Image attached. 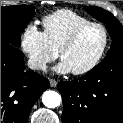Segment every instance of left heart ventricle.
Returning <instances> with one entry per match:
<instances>
[{
  "mask_svg": "<svg viewBox=\"0 0 123 123\" xmlns=\"http://www.w3.org/2000/svg\"><path fill=\"white\" fill-rule=\"evenodd\" d=\"M104 41L103 32L98 27H91L84 31L76 43L66 50L61 59L64 60L71 70L86 67L99 53Z\"/></svg>",
  "mask_w": 123,
  "mask_h": 123,
  "instance_id": "left-heart-ventricle-1",
  "label": "left heart ventricle"
}]
</instances>
